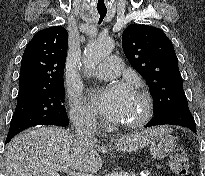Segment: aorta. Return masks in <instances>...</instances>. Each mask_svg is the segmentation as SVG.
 Instances as JSON below:
<instances>
[{
	"label": "aorta",
	"mask_w": 205,
	"mask_h": 176,
	"mask_svg": "<svg viewBox=\"0 0 205 176\" xmlns=\"http://www.w3.org/2000/svg\"><path fill=\"white\" fill-rule=\"evenodd\" d=\"M114 49L111 38L97 39L89 42L84 51V67L86 72H91Z\"/></svg>",
	"instance_id": "1"
}]
</instances>
